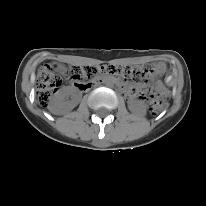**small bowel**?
Here are the masks:
<instances>
[{"label":"small bowel","instance_id":"small-bowel-1","mask_svg":"<svg viewBox=\"0 0 206 206\" xmlns=\"http://www.w3.org/2000/svg\"><path fill=\"white\" fill-rule=\"evenodd\" d=\"M164 70H165V64L162 63V62H160V63H158V64L156 65V67H155V69H154V72H155L156 74H161V73L164 72Z\"/></svg>","mask_w":206,"mask_h":206}]
</instances>
